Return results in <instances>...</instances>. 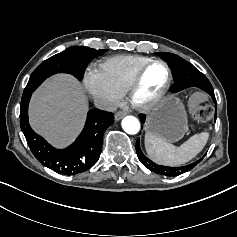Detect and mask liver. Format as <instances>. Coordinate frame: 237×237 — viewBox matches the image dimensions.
Listing matches in <instances>:
<instances>
[{
    "label": "liver",
    "mask_w": 237,
    "mask_h": 237,
    "mask_svg": "<svg viewBox=\"0 0 237 237\" xmlns=\"http://www.w3.org/2000/svg\"><path fill=\"white\" fill-rule=\"evenodd\" d=\"M88 109L82 84L71 75L57 74L33 93L29 104V123L51 145L64 148L81 131Z\"/></svg>",
    "instance_id": "obj_1"
}]
</instances>
